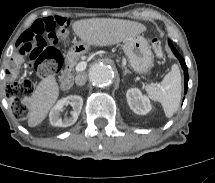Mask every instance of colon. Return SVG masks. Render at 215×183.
Here are the masks:
<instances>
[{"instance_id": "colon-1", "label": "colon", "mask_w": 215, "mask_h": 183, "mask_svg": "<svg viewBox=\"0 0 215 183\" xmlns=\"http://www.w3.org/2000/svg\"><path fill=\"white\" fill-rule=\"evenodd\" d=\"M67 22L62 17L37 20L23 33L15 58L20 63H30L40 76L55 73L61 64V54L56 48L59 40L67 38ZM152 48L158 58L164 56L162 43L155 39ZM7 97L12 103L13 113L18 119L28 115L27 100L33 93L34 86L29 80H23V68L18 63H11L6 68Z\"/></svg>"}]
</instances>
